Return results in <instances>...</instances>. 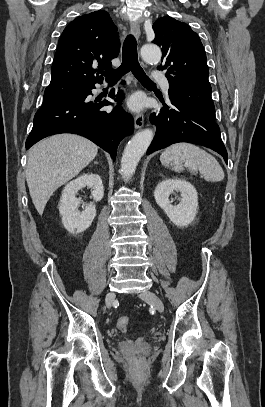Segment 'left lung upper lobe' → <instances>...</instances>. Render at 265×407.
<instances>
[{
  "label": "left lung upper lobe",
  "instance_id": "left-lung-upper-lobe-1",
  "mask_svg": "<svg viewBox=\"0 0 265 407\" xmlns=\"http://www.w3.org/2000/svg\"><path fill=\"white\" fill-rule=\"evenodd\" d=\"M153 30V43L162 48L158 69L166 70L170 100L215 118L206 54L199 36L187 24L171 17L156 20Z\"/></svg>",
  "mask_w": 265,
  "mask_h": 407
}]
</instances>
